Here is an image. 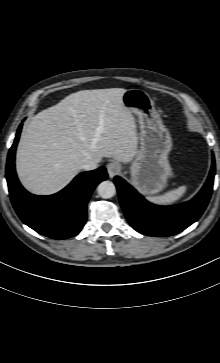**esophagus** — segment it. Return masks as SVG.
Listing matches in <instances>:
<instances>
[{
	"mask_svg": "<svg viewBox=\"0 0 220 363\" xmlns=\"http://www.w3.org/2000/svg\"><path fill=\"white\" fill-rule=\"evenodd\" d=\"M120 171V165L117 162L107 164V172L110 178H113Z\"/></svg>",
	"mask_w": 220,
	"mask_h": 363,
	"instance_id": "34e87169",
	"label": "esophagus"
}]
</instances>
